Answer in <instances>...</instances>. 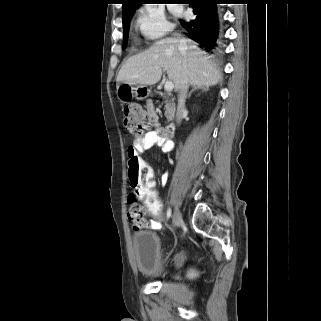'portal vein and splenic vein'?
Masks as SVG:
<instances>
[{
    "label": "portal vein and splenic vein",
    "instance_id": "obj_1",
    "mask_svg": "<svg viewBox=\"0 0 321 321\" xmlns=\"http://www.w3.org/2000/svg\"><path fill=\"white\" fill-rule=\"evenodd\" d=\"M173 88H174V84L172 81H167L164 85V89L166 91H172Z\"/></svg>",
    "mask_w": 321,
    "mask_h": 321
}]
</instances>
